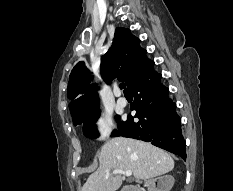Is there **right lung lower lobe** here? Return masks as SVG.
I'll return each mask as SVG.
<instances>
[{"instance_id": "obj_1", "label": "right lung lower lobe", "mask_w": 233, "mask_h": 191, "mask_svg": "<svg viewBox=\"0 0 233 191\" xmlns=\"http://www.w3.org/2000/svg\"><path fill=\"white\" fill-rule=\"evenodd\" d=\"M154 62L147 59L131 81L128 89L134 96L131 110H136L133 121L118 123L112 136H123L151 142L153 145L178 154L186 159L185 140L181 132V119L175 112L176 104L168 97L169 90L160 82L162 77L153 69Z\"/></svg>"}]
</instances>
